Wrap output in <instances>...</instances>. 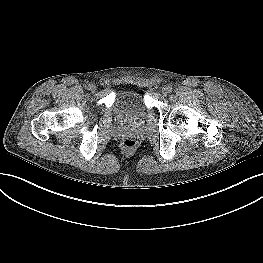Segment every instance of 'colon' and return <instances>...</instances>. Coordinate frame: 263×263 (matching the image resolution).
Listing matches in <instances>:
<instances>
[{
  "label": "colon",
  "mask_w": 263,
  "mask_h": 263,
  "mask_svg": "<svg viewBox=\"0 0 263 263\" xmlns=\"http://www.w3.org/2000/svg\"><path fill=\"white\" fill-rule=\"evenodd\" d=\"M123 145L126 148H133L136 145V142L132 139H126L124 140Z\"/></svg>",
  "instance_id": "colon-1"
}]
</instances>
